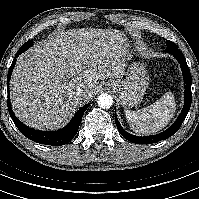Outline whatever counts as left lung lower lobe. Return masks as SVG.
Wrapping results in <instances>:
<instances>
[{
  "label": "left lung lower lobe",
  "instance_id": "0a47b994",
  "mask_svg": "<svg viewBox=\"0 0 199 199\" xmlns=\"http://www.w3.org/2000/svg\"><path fill=\"white\" fill-rule=\"evenodd\" d=\"M165 52L172 54L178 60L179 64L181 65V68H182L184 82H185V92H184L185 103H184L183 110H182L181 114L179 115V117L177 118V120L174 122V124L170 128H168L164 132L159 133L157 135L146 136V137H139V136H135V135H132V134H129L128 132H126L121 127V125L116 117V114H115V122H116V126H117L120 134L125 139H127L128 141H131L133 143L150 144V143H155V142L164 140L168 137H171L174 133H176L179 130V128L181 127V125L190 109L191 101H192V96H191L192 79H191L190 69L186 63L185 57L182 54V52L177 48V46L168 47V49H166Z\"/></svg>",
  "mask_w": 199,
  "mask_h": 199
}]
</instances>
